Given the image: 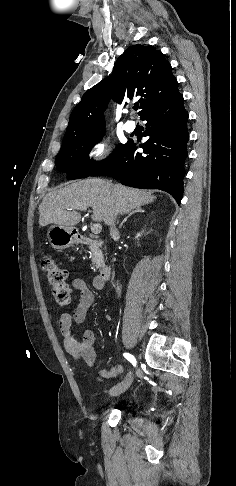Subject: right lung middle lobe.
<instances>
[{
    "instance_id": "obj_1",
    "label": "right lung middle lobe",
    "mask_w": 236,
    "mask_h": 486,
    "mask_svg": "<svg viewBox=\"0 0 236 486\" xmlns=\"http://www.w3.org/2000/svg\"><path fill=\"white\" fill-rule=\"evenodd\" d=\"M105 130L96 131L77 140L62 145L56 157L57 169L66 172L68 179L86 178L103 166L111 157L119 152L125 144H119L113 153L101 162L89 159L91 149L98 143Z\"/></svg>"
}]
</instances>
